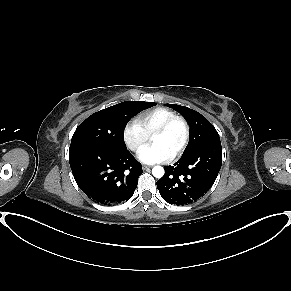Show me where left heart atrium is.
<instances>
[{
    "label": "left heart atrium",
    "instance_id": "obj_1",
    "mask_svg": "<svg viewBox=\"0 0 291 291\" xmlns=\"http://www.w3.org/2000/svg\"><path fill=\"white\" fill-rule=\"evenodd\" d=\"M137 157L146 164L168 162L173 154L160 144L145 145L138 150Z\"/></svg>",
    "mask_w": 291,
    "mask_h": 291
}]
</instances>
